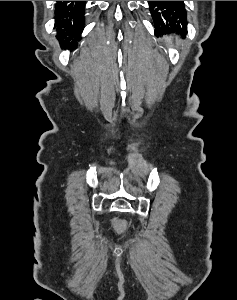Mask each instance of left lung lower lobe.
Listing matches in <instances>:
<instances>
[{
    "instance_id": "1",
    "label": "left lung lower lobe",
    "mask_w": 237,
    "mask_h": 300,
    "mask_svg": "<svg viewBox=\"0 0 237 300\" xmlns=\"http://www.w3.org/2000/svg\"><path fill=\"white\" fill-rule=\"evenodd\" d=\"M153 4H155V2L154 1H149V6L150 5H153ZM187 29V28H186ZM186 29L185 30H183V31H181L183 34H185L186 33Z\"/></svg>"
}]
</instances>
